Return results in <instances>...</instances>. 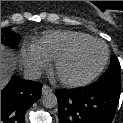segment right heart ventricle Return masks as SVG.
<instances>
[{
	"mask_svg": "<svg viewBox=\"0 0 123 123\" xmlns=\"http://www.w3.org/2000/svg\"><path fill=\"white\" fill-rule=\"evenodd\" d=\"M92 37L77 31L55 30L48 31L35 40L31 48L49 60H55L74 44Z\"/></svg>",
	"mask_w": 123,
	"mask_h": 123,
	"instance_id": "1",
	"label": "right heart ventricle"
}]
</instances>
